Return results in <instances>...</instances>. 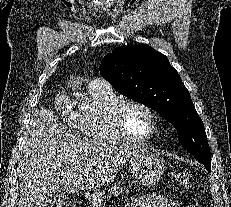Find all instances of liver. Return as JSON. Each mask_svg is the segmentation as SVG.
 I'll list each match as a JSON object with an SVG mask.
<instances>
[{"label": "liver", "instance_id": "1", "mask_svg": "<svg viewBox=\"0 0 231 207\" xmlns=\"http://www.w3.org/2000/svg\"><path fill=\"white\" fill-rule=\"evenodd\" d=\"M138 150L129 144L81 139L51 110H36L18 161L19 207H47L49 197L58 191L101 187Z\"/></svg>", "mask_w": 231, "mask_h": 207}]
</instances>
